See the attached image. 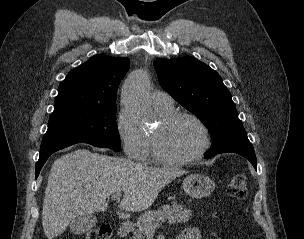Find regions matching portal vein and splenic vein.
I'll return each mask as SVG.
<instances>
[{
  "label": "portal vein and splenic vein",
  "mask_w": 304,
  "mask_h": 239,
  "mask_svg": "<svg viewBox=\"0 0 304 239\" xmlns=\"http://www.w3.org/2000/svg\"><path fill=\"white\" fill-rule=\"evenodd\" d=\"M112 200L119 202L121 198V193H115L111 196ZM159 224H155L153 227H150V230H154Z\"/></svg>",
  "instance_id": "18ae733b"
}]
</instances>
